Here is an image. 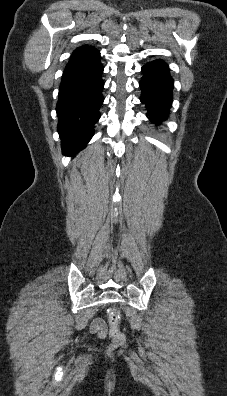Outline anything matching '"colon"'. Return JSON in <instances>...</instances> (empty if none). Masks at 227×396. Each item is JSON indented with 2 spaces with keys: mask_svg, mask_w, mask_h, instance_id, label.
Listing matches in <instances>:
<instances>
[{
  "mask_svg": "<svg viewBox=\"0 0 227 396\" xmlns=\"http://www.w3.org/2000/svg\"><path fill=\"white\" fill-rule=\"evenodd\" d=\"M121 314L117 307L108 311L109 333L112 339V346L119 347L126 341L125 334L120 329Z\"/></svg>",
  "mask_w": 227,
  "mask_h": 396,
  "instance_id": "colon-1",
  "label": "colon"
}]
</instances>
